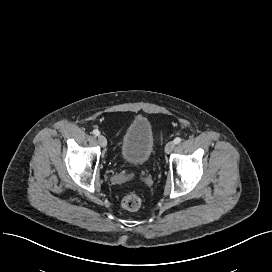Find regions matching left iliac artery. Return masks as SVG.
<instances>
[{"mask_svg": "<svg viewBox=\"0 0 272 272\" xmlns=\"http://www.w3.org/2000/svg\"><path fill=\"white\" fill-rule=\"evenodd\" d=\"M181 141H182V139L180 137H177L174 139L175 144H179Z\"/></svg>", "mask_w": 272, "mask_h": 272, "instance_id": "obj_1", "label": "left iliac artery"}]
</instances>
